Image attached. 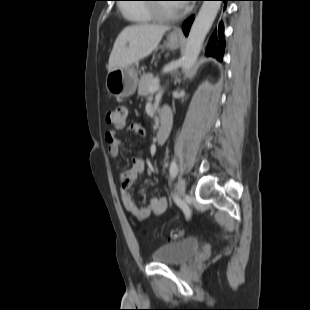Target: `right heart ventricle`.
<instances>
[{
  "instance_id": "1",
  "label": "right heart ventricle",
  "mask_w": 310,
  "mask_h": 310,
  "mask_svg": "<svg viewBox=\"0 0 310 310\" xmlns=\"http://www.w3.org/2000/svg\"><path fill=\"white\" fill-rule=\"evenodd\" d=\"M124 15L137 24H146L154 20L153 13L148 6H127L123 7Z\"/></svg>"
}]
</instances>
